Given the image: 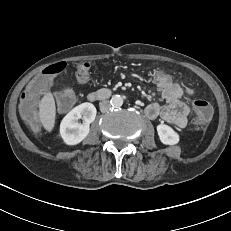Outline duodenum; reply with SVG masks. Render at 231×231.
I'll use <instances>...</instances> for the list:
<instances>
[{"mask_svg": "<svg viewBox=\"0 0 231 231\" xmlns=\"http://www.w3.org/2000/svg\"><path fill=\"white\" fill-rule=\"evenodd\" d=\"M112 94V91L107 88H102L97 91L91 92L88 95V100L91 102L101 101L108 99Z\"/></svg>", "mask_w": 231, "mask_h": 231, "instance_id": "1", "label": "duodenum"}]
</instances>
